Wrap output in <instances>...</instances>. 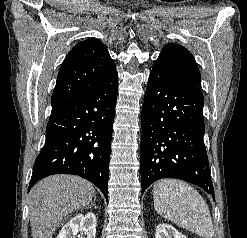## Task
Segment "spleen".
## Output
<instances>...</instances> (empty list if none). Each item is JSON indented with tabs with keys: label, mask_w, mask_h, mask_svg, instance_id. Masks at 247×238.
Wrapping results in <instances>:
<instances>
[{
	"label": "spleen",
	"mask_w": 247,
	"mask_h": 238,
	"mask_svg": "<svg viewBox=\"0 0 247 238\" xmlns=\"http://www.w3.org/2000/svg\"><path fill=\"white\" fill-rule=\"evenodd\" d=\"M154 207L159 215L201 237L214 236L209 208L199 192L184 181L163 179L153 187Z\"/></svg>",
	"instance_id": "obj_1"
}]
</instances>
